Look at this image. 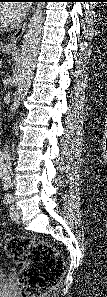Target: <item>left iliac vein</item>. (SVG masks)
I'll use <instances>...</instances> for the list:
<instances>
[{
    "label": "left iliac vein",
    "mask_w": 107,
    "mask_h": 297,
    "mask_svg": "<svg viewBox=\"0 0 107 297\" xmlns=\"http://www.w3.org/2000/svg\"><path fill=\"white\" fill-rule=\"evenodd\" d=\"M10 216L14 221H18L21 217V210L18 206L12 205L10 207Z\"/></svg>",
    "instance_id": "obj_1"
}]
</instances>
